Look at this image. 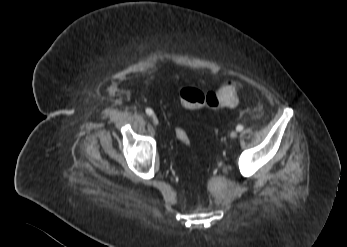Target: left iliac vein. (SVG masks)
<instances>
[{
	"label": "left iliac vein",
	"instance_id": "4c4485c4",
	"mask_svg": "<svg viewBox=\"0 0 347 247\" xmlns=\"http://www.w3.org/2000/svg\"><path fill=\"white\" fill-rule=\"evenodd\" d=\"M237 135H238L237 131H232L231 134H230L231 138H236Z\"/></svg>",
	"mask_w": 347,
	"mask_h": 247
}]
</instances>
